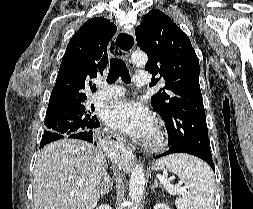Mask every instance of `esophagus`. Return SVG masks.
I'll use <instances>...</instances> for the list:
<instances>
[{"mask_svg": "<svg viewBox=\"0 0 253 209\" xmlns=\"http://www.w3.org/2000/svg\"><path fill=\"white\" fill-rule=\"evenodd\" d=\"M123 46V47H122ZM136 40L132 31L123 30L118 33L114 39L113 47L114 49H119L124 53V58L128 61L131 53L135 49ZM117 142L120 144L126 145L127 148L130 146L126 143V141L118 135L113 136ZM133 160H135V156H133Z\"/></svg>", "mask_w": 253, "mask_h": 209, "instance_id": "34e87169", "label": "esophagus"}]
</instances>
